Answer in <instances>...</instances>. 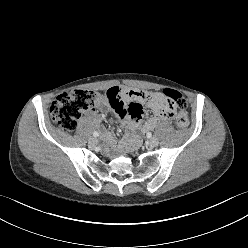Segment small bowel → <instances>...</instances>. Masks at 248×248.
I'll return each instance as SVG.
<instances>
[{"mask_svg":"<svg viewBox=\"0 0 248 248\" xmlns=\"http://www.w3.org/2000/svg\"><path fill=\"white\" fill-rule=\"evenodd\" d=\"M143 105L153 111V115L145 122L141 121ZM97 107L112 109L125 124L142 131L154 128L160 121L170 119L174 113L163 93L125 89L123 86L109 88L106 97L99 100ZM106 140L111 145L115 144L109 133L106 134Z\"/></svg>","mask_w":248,"mask_h":248,"instance_id":"c3829d8e","label":"small bowel"}]
</instances>
